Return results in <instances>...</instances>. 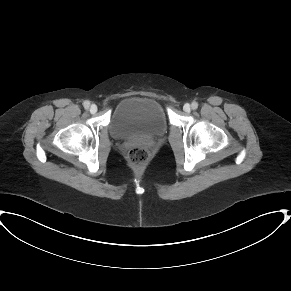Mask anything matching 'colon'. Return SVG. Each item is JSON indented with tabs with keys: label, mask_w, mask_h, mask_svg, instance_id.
<instances>
[{
	"label": "colon",
	"mask_w": 291,
	"mask_h": 291,
	"mask_svg": "<svg viewBox=\"0 0 291 291\" xmlns=\"http://www.w3.org/2000/svg\"><path fill=\"white\" fill-rule=\"evenodd\" d=\"M150 159V151L144 146H136L130 149L127 160L136 172H143Z\"/></svg>",
	"instance_id": "colon-1"
}]
</instances>
